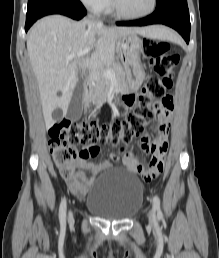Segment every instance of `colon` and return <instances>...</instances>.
Masks as SVG:
<instances>
[{
  "mask_svg": "<svg viewBox=\"0 0 219 258\" xmlns=\"http://www.w3.org/2000/svg\"><path fill=\"white\" fill-rule=\"evenodd\" d=\"M144 54L157 76L146 80L133 110L124 120L100 124L95 121H71L64 119L49 130V148L53 160L64 178L73 175L74 162L82 157L97 154L96 144L129 143L133 137L143 135L145 127L155 118L153 105L166 96L171 87L179 56L171 51L167 42L144 40ZM89 146L90 150H78L77 146Z\"/></svg>",
  "mask_w": 219,
  "mask_h": 258,
  "instance_id": "1",
  "label": "colon"
}]
</instances>
